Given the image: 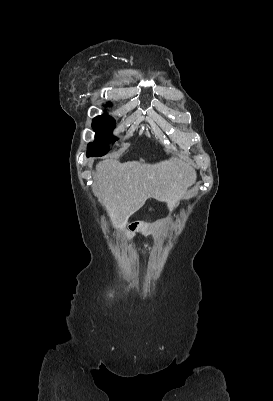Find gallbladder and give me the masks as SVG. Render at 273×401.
<instances>
[{"instance_id":"1","label":"gallbladder","mask_w":273,"mask_h":401,"mask_svg":"<svg viewBox=\"0 0 273 401\" xmlns=\"http://www.w3.org/2000/svg\"><path fill=\"white\" fill-rule=\"evenodd\" d=\"M122 231H123V230H122ZM128 235H129V234H128ZM131 236H132V237H135V236H136V233H135V232H132V233H131ZM129 239H130V238H129ZM131 239H132V238H131ZM130 243H131V242H130ZM132 243H133V242H132Z\"/></svg>"}]
</instances>
